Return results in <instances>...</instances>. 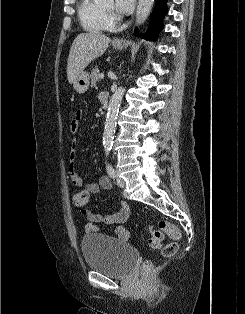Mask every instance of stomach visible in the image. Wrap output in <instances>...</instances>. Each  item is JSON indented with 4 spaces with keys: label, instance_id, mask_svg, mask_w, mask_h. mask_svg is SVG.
<instances>
[{
    "label": "stomach",
    "instance_id": "0dacf381",
    "mask_svg": "<svg viewBox=\"0 0 245 314\" xmlns=\"http://www.w3.org/2000/svg\"><path fill=\"white\" fill-rule=\"evenodd\" d=\"M115 49H121L123 44H113ZM73 87L79 94L85 93L89 88V73L82 71L74 80Z\"/></svg>",
    "mask_w": 245,
    "mask_h": 314
}]
</instances>
